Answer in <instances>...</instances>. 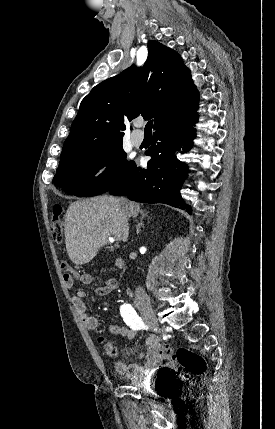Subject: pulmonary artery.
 <instances>
[{
  "label": "pulmonary artery",
  "instance_id": "obj_1",
  "mask_svg": "<svg viewBox=\"0 0 275 429\" xmlns=\"http://www.w3.org/2000/svg\"><path fill=\"white\" fill-rule=\"evenodd\" d=\"M131 140L134 145H141L144 141V134L139 130H134L131 134Z\"/></svg>",
  "mask_w": 275,
  "mask_h": 429
}]
</instances>
